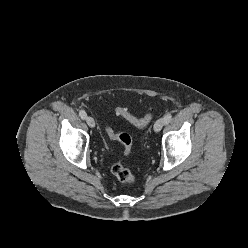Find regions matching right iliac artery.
<instances>
[{
  "label": "right iliac artery",
  "mask_w": 248,
  "mask_h": 248,
  "mask_svg": "<svg viewBox=\"0 0 248 248\" xmlns=\"http://www.w3.org/2000/svg\"><path fill=\"white\" fill-rule=\"evenodd\" d=\"M79 116H80L82 119H86L87 113H86L84 110H80V111H79Z\"/></svg>",
  "instance_id": "right-iliac-artery-1"
}]
</instances>
